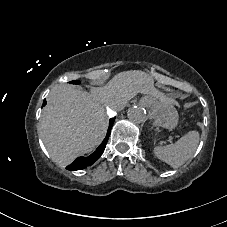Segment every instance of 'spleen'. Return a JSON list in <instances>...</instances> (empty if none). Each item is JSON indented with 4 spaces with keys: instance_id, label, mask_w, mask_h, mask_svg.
Segmentation results:
<instances>
[{
    "instance_id": "1",
    "label": "spleen",
    "mask_w": 227,
    "mask_h": 227,
    "mask_svg": "<svg viewBox=\"0 0 227 227\" xmlns=\"http://www.w3.org/2000/svg\"><path fill=\"white\" fill-rule=\"evenodd\" d=\"M199 138V131L193 130L179 138L174 144L156 145L152 151L157 159L177 169L192 156L198 146Z\"/></svg>"
}]
</instances>
